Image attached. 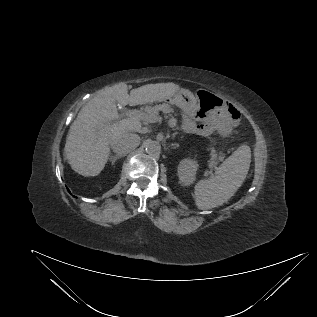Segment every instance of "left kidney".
Here are the masks:
<instances>
[{"instance_id": "1", "label": "left kidney", "mask_w": 317, "mask_h": 317, "mask_svg": "<svg viewBox=\"0 0 317 317\" xmlns=\"http://www.w3.org/2000/svg\"><path fill=\"white\" fill-rule=\"evenodd\" d=\"M198 163L192 159H183L178 166V176L180 182L185 185H191L196 178Z\"/></svg>"}]
</instances>
